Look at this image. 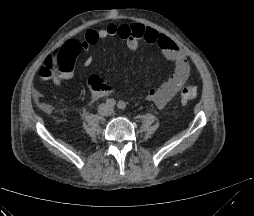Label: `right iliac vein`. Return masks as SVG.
Returning <instances> with one entry per match:
<instances>
[{
    "instance_id": "right-iliac-vein-1",
    "label": "right iliac vein",
    "mask_w": 254,
    "mask_h": 216,
    "mask_svg": "<svg viewBox=\"0 0 254 216\" xmlns=\"http://www.w3.org/2000/svg\"><path fill=\"white\" fill-rule=\"evenodd\" d=\"M107 108H108L107 105H103L100 110L103 112V111H106Z\"/></svg>"
}]
</instances>
